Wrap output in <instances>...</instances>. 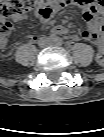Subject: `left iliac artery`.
I'll list each match as a JSON object with an SVG mask.
<instances>
[{
	"label": "left iliac artery",
	"instance_id": "obj_1",
	"mask_svg": "<svg viewBox=\"0 0 104 137\" xmlns=\"http://www.w3.org/2000/svg\"><path fill=\"white\" fill-rule=\"evenodd\" d=\"M58 44H59V45H61V44H62V41H61L60 39L58 40Z\"/></svg>",
	"mask_w": 104,
	"mask_h": 137
}]
</instances>
